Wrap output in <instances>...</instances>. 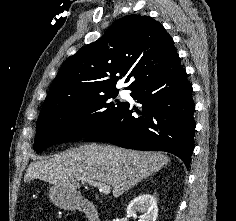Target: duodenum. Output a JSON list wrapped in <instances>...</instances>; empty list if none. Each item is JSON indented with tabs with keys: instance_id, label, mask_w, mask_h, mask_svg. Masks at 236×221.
<instances>
[{
	"instance_id": "1",
	"label": "duodenum",
	"mask_w": 236,
	"mask_h": 221,
	"mask_svg": "<svg viewBox=\"0 0 236 221\" xmlns=\"http://www.w3.org/2000/svg\"><path fill=\"white\" fill-rule=\"evenodd\" d=\"M79 209L86 215L88 221H100L98 210L92 201H82Z\"/></svg>"
}]
</instances>
